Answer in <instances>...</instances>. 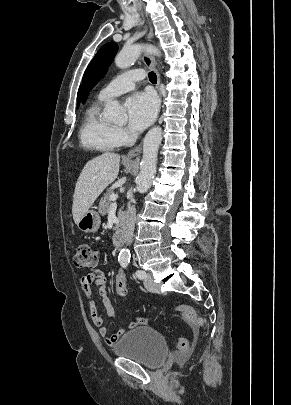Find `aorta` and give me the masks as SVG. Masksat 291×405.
Wrapping results in <instances>:
<instances>
[{"label": "aorta", "instance_id": "obj_1", "mask_svg": "<svg viewBox=\"0 0 291 405\" xmlns=\"http://www.w3.org/2000/svg\"><path fill=\"white\" fill-rule=\"evenodd\" d=\"M147 50L154 55L159 56L158 48L151 45L135 44L124 47L115 58V64L118 68L126 69L133 65L138 59L140 53ZM126 112L117 101H110L105 106V118L108 121H122ZM162 141V129L154 127L149 130L143 141V156L140 163V173L137 178V190L144 194L151 187L152 180L156 173V163L158 149ZM119 261H128L130 251L128 248L121 249L118 257Z\"/></svg>", "mask_w": 291, "mask_h": 405}]
</instances>
